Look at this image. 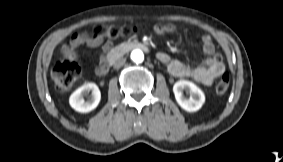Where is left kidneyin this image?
<instances>
[{
	"label": "left kidney",
	"instance_id": "5707ae66",
	"mask_svg": "<svg viewBox=\"0 0 283 162\" xmlns=\"http://www.w3.org/2000/svg\"><path fill=\"white\" fill-rule=\"evenodd\" d=\"M183 91L189 94V98L183 95ZM175 99L179 106L187 112L198 111L205 102L203 91L188 80H179L173 86Z\"/></svg>",
	"mask_w": 283,
	"mask_h": 162
}]
</instances>
